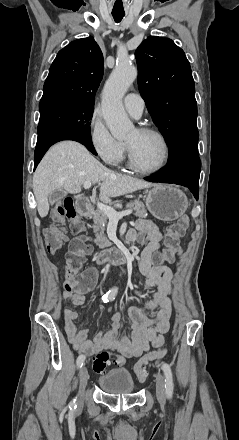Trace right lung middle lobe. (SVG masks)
<instances>
[{
  "mask_svg": "<svg viewBox=\"0 0 239 440\" xmlns=\"http://www.w3.org/2000/svg\"><path fill=\"white\" fill-rule=\"evenodd\" d=\"M38 134L52 128H73L90 133L94 106L72 99H54L39 103Z\"/></svg>",
  "mask_w": 239,
  "mask_h": 440,
  "instance_id": "1",
  "label": "right lung middle lobe"
}]
</instances>
